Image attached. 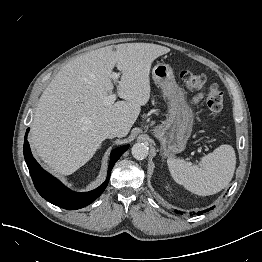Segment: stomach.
I'll list each match as a JSON object with an SVG mask.
<instances>
[{
  "instance_id": "0dacf381",
  "label": "stomach",
  "mask_w": 262,
  "mask_h": 262,
  "mask_svg": "<svg viewBox=\"0 0 262 262\" xmlns=\"http://www.w3.org/2000/svg\"><path fill=\"white\" fill-rule=\"evenodd\" d=\"M152 78L168 101V116L153 128V134L161 143L162 154L171 157L185 149L192 132L194 114L186 100L185 91L177 84L168 64L155 65Z\"/></svg>"
}]
</instances>
